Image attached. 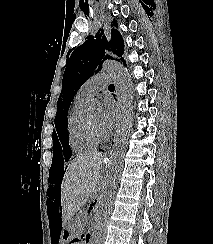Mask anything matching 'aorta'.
<instances>
[{
    "instance_id": "1",
    "label": "aorta",
    "mask_w": 213,
    "mask_h": 244,
    "mask_svg": "<svg viewBox=\"0 0 213 244\" xmlns=\"http://www.w3.org/2000/svg\"><path fill=\"white\" fill-rule=\"evenodd\" d=\"M103 70L108 72L115 79L117 89V100L119 110L117 117L114 145L110 153L108 172L102 182V187L94 207V224L91 244H104L107 233V221L114 204V196L118 182L121 178L125 151L129 134L132 129L131 112V84L127 79L121 63L114 60H107L103 64ZM100 101L93 99L90 109L94 112L100 111Z\"/></svg>"
}]
</instances>
